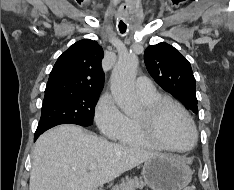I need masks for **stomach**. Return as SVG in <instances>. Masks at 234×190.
<instances>
[{
	"instance_id": "1",
	"label": "stomach",
	"mask_w": 234,
	"mask_h": 190,
	"mask_svg": "<svg viewBox=\"0 0 234 190\" xmlns=\"http://www.w3.org/2000/svg\"><path fill=\"white\" fill-rule=\"evenodd\" d=\"M142 176L152 190H183L192 179V171L184 160L159 154L144 163Z\"/></svg>"
}]
</instances>
